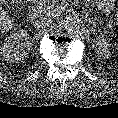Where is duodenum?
<instances>
[{
	"instance_id": "duodenum-1",
	"label": "duodenum",
	"mask_w": 118,
	"mask_h": 118,
	"mask_svg": "<svg viewBox=\"0 0 118 118\" xmlns=\"http://www.w3.org/2000/svg\"><path fill=\"white\" fill-rule=\"evenodd\" d=\"M28 1H30V2H34V0H28Z\"/></svg>"
}]
</instances>
